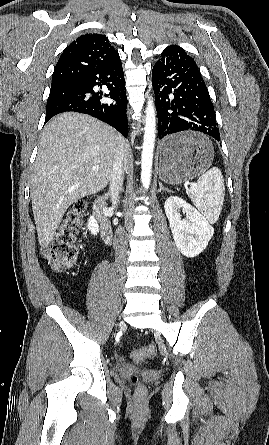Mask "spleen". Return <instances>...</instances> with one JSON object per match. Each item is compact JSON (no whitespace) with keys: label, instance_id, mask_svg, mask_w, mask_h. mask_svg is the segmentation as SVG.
Listing matches in <instances>:
<instances>
[{"label":"spleen","instance_id":"obj_1","mask_svg":"<svg viewBox=\"0 0 269 445\" xmlns=\"http://www.w3.org/2000/svg\"><path fill=\"white\" fill-rule=\"evenodd\" d=\"M186 193L209 223L217 222L225 195L224 179L219 168L212 167L204 172Z\"/></svg>","mask_w":269,"mask_h":445}]
</instances>
